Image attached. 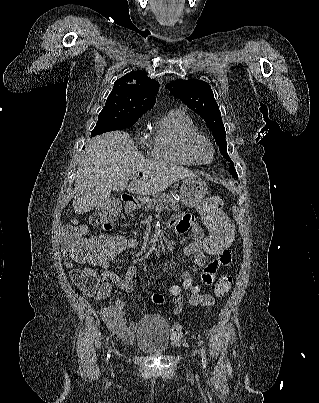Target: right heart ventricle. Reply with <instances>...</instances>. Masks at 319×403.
I'll use <instances>...</instances> for the list:
<instances>
[{
  "label": "right heart ventricle",
  "instance_id": "obj_1",
  "mask_svg": "<svg viewBox=\"0 0 319 403\" xmlns=\"http://www.w3.org/2000/svg\"><path fill=\"white\" fill-rule=\"evenodd\" d=\"M197 131L194 121L184 109L173 108L154 124L149 145L150 154L172 163L197 165L198 162L186 148L187 138Z\"/></svg>",
  "mask_w": 319,
  "mask_h": 403
}]
</instances>
